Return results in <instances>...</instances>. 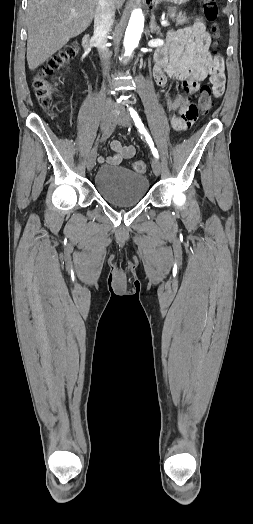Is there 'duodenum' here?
I'll use <instances>...</instances> for the list:
<instances>
[{
    "instance_id": "obj_1",
    "label": "duodenum",
    "mask_w": 253,
    "mask_h": 524,
    "mask_svg": "<svg viewBox=\"0 0 253 524\" xmlns=\"http://www.w3.org/2000/svg\"><path fill=\"white\" fill-rule=\"evenodd\" d=\"M83 44H84L85 51L87 53H90L92 48H91L90 35L89 34H85L84 35V37H83Z\"/></svg>"
}]
</instances>
